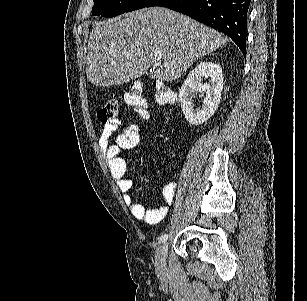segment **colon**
<instances>
[{
    "label": "colon",
    "instance_id": "5ec220e1",
    "mask_svg": "<svg viewBox=\"0 0 307 301\" xmlns=\"http://www.w3.org/2000/svg\"><path fill=\"white\" fill-rule=\"evenodd\" d=\"M123 99L140 118H148L147 101L140 84H133ZM155 99L159 104H170L174 101L175 94L168 86L158 82L155 84ZM117 115L118 102L114 99L108 100L97 112L98 120L103 124L117 120Z\"/></svg>",
    "mask_w": 307,
    "mask_h": 301
}]
</instances>
